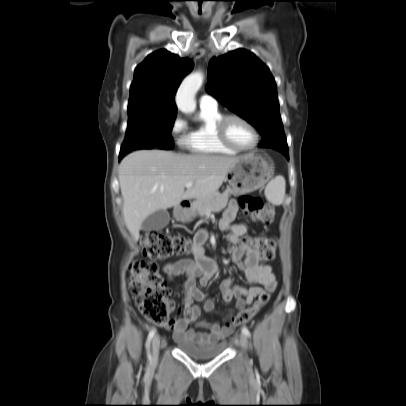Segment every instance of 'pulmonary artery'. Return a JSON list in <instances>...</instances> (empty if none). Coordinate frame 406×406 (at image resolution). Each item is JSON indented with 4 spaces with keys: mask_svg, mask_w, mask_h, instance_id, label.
Wrapping results in <instances>:
<instances>
[{
    "mask_svg": "<svg viewBox=\"0 0 406 406\" xmlns=\"http://www.w3.org/2000/svg\"><path fill=\"white\" fill-rule=\"evenodd\" d=\"M217 105V100L211 95L203 94L199 98L200 108H215Z\"/></svg>",
    "mask_w": 406,
    "mask_h": 406,
    "instance_id": "e3ab8cb5",
    "label": "pulmonary artery"
}]
</instances>
